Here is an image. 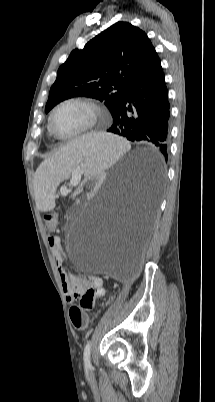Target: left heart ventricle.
Returning a JSON list of instances; mask_svg holds the SVG:
<instances>
[{"label": "left heart ventricle", "instance_id": "obj_1", "mask_svg": "<svg viewBox=\"0 0 215 402\" xmlns=\"http://www.w3.org/2000/svg\"><path fill=\"white\" fill-rule=\"evenodd\" d=\"M87 108L77 104H68L56 111L53 117V128L60 135H68L82 129L89 121Z\"/></svg>", "mask_w": 215, "mask_h": 402}]
</instances>
